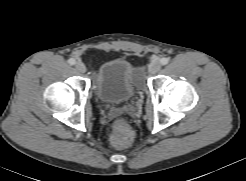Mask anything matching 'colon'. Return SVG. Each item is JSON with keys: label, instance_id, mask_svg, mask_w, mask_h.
<instances>
[{"label": "colon", "instance_id": "colon-1", "mask_svg": "<svg viewBox=\"0 0 246 181\" xmlns=\"http://www.w3.org/2000/svg\"><path fill=\"white\" fill-rule=\"evenodd\" d=\"M133 139V130L131 126L124 120H117L112 125V133L110 136L111 145L115 148H123L128 146Z\"/></svg>", "mask_w": 246, "mask_h": 181}]
</instances>
